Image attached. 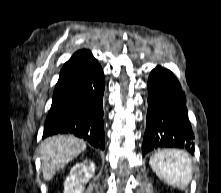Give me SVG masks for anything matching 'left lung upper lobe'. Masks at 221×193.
I'll use <instances>...</instances> for the list:
<instances>
[{
    "instance_id": "5c2ea615",
    "label": "left lung upper lobe",
    "mask_w": 221,
    "mask_h": 193,
    "mask_svg": "<svg viewBox=\"0 0 221 193\" xmlns=\"http://www.w3.org/2000/svg\"><path fill=\"white\" fill-rule=\"evenodd\" d=\"M163 116H164V119L167 121V123L169 125H172L173 116H172V112L169 109H164Z\"/></svg>"
}]
</instances>
